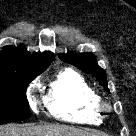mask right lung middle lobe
Returning <instances> with one entry per match:
<instances>
[{"mask_svg": "<svg viewBox=\"0 0 136 136\" xmlns=\"http://www.w3.org/2000/svg\"><path fill=\"white\" fill-rule=\"evenodd\" d=\"M35 77L16 74L0 77V124L30 117L26 88Z\"/></svg>", "mask_w": 136, "mask_h": 136, "instance_id": "right-lung-middle-lobe-1", "label": "right lung middle lobe"}]
</instances>
